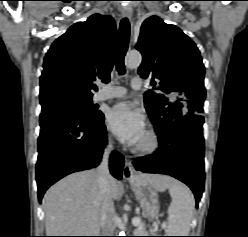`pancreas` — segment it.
Listing matches in <instances>:
<instances>
[{
	"label": "pancreas",
	"instance_id": "1",
	"mask_svg": "<svg viewBox=\"0 0 248 237\" xmlns=\"http://www.w3.org/2000/svg\"><path fill=\"white\" fill-rule=\"evenodd\" d=\"M149 232H150V233H155L156 230H155V229H151ZM135 233L138 234V235H140V236H147V235H149V234H147L148 231L146 230L144 224H140V225L136 228Z\"/></svg>",
	"mask_w": 248,
	"mask_h": 237
}]
</instances>
